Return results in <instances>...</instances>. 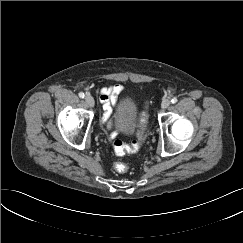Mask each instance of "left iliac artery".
<instances>
[{"instance_id": "44dca946", "label": "left iliac artery", "mask_w": 243, "mask_h": 243, "mask_svg": "<svg viewBox=\"0 0 243 243\" xmlns=\"http://www.w3.org/2000/svg\"><path fill=\"white\" fill-rule=\"evenodd\" d=\"M177 101H178V100H177L176 97H174V98L171 99V103H173V104H175Z\"/></svg>"}]
</instances>
